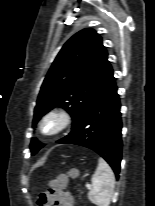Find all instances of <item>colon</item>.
<instances>
[{"instance_id":"colon-1","label":"colon","mask_w":155,"mask_h":206,"mask_svg":"<svg viewBox=\"0 0 155 206\" xmlns=\"http://www.w3.org/2000/svg\"><path fill=\"white\" fill-rule=\"evenodd\" d=\"M67 182V176L66 175H60L56 179H53L50 181V187L60 189L63 188L65 183ZM46 197L45 195H42L39 199L41 203H45Z\"/></svg>"}]
</instances>
